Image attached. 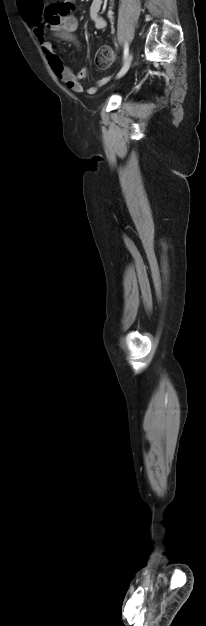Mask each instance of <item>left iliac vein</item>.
I'll return each mask as SVG.
<instances>
[{
	"mask_svg": "<svg viewBox=\"0 0 206 626\" xmlns=\"http://www.w3.org/2000/svg\"><path fill=\"white\" fill-rule=\"evenodd\" d=\"M132 59H133L132 54H129V55H128V57H127V59H126V61H125V63H124V65H123V67H122V68H121V70L118 72V74H117L116 78H121L122 76H124V75L126 74V72H127V71L129 70V68H130V65H131V63H132Z\"/></svg>",
	"mask_w": 206,
	"mask_h": 626,
	"instance_id": "obj_1",
	"label": "left iliac vein"
}]
</instances>
